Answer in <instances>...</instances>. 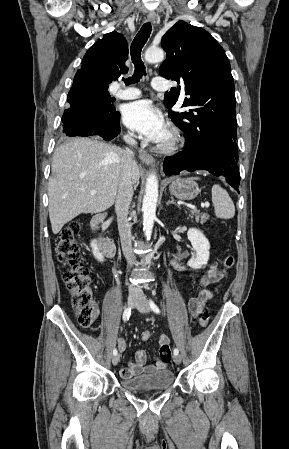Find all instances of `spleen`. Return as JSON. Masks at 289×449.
<instances>
[{
	"label": "spleen",
	"mask_w": 289,
	"mask_h": 449,
	"mask_svg": "<svg viewBox=\"0 0 289 449\" xmlns=\"http://www.w3.org/2000/svg\"><path fill=\"white\" fill-rule=\"evenodd\" d=\"M191 179H199L193 177ZM212 202L214 204L215 216L221 219H231L235 215V206L229 194L220 185L212 187Z\"/></svg>",
	"instance_id": "3e777b00"
}]
</instances>
